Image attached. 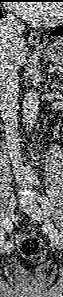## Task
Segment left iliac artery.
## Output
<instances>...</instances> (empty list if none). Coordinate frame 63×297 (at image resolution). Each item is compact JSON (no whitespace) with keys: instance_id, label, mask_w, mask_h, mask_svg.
<instances>
[{"instance_id":"obj_1","label":"left iliac artery","mask_w":63,"mask_h":297,"mask_svg":"<svg viewBox=\"0 0 63 297\" xmlns=\"http://www.w3.org/2000/svg\"><path fill=\"white\" fill-rule=\"evenodd\" d=\"M41 206L44 209L45 214H50L51 212V204L49 200L45 197L40 198Z\"/></svg>"}]
</instances>
